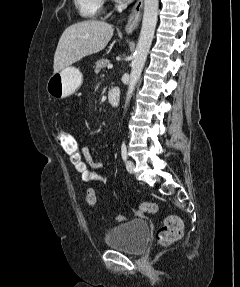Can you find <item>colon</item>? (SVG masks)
<instances>
[{"instance_id": "colon-1", "label": "colon", "mask_w": 240, "mask_h": 287, "mask_svg": "<svg viewBox=\"0 0 240 287\" xmlns=\"http://www.w3.org/2000/svg\"><path fill=\"white\" fill-rule=\"evenodd\" d=\"M55 139L63 154L79 174L81 180L87 183L96 182L95 172L83 156L81 147L75 136L63 128L56 133ZM86 198L89 206L94 207L96 196L92 188L87 189ZM157 210L158 207L155 203L144 202L140 206L139 211L141 214H144L154 213ZM116 220L122 222L125 220V217L118 215L116 216ZM182 234L183 223L181 219L177 216H168L157 231L156 238L160 245L167 246L177 242L182 237Z\"/></svg>"}]
</instances>
